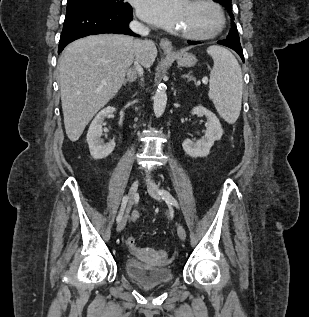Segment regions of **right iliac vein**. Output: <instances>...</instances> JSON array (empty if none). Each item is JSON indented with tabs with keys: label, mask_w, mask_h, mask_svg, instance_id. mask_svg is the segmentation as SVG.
<instances>
[{
	"label": "right iliac vein",
	"mask_w": 309,
	"mask_h": 317,
	"mask_svg": "<svg viewBox=\"0 0 309 317\" xmlns=\"http://www.w3.org/2000/svg\"><path fill=\"white\" fill-rule=\"evenodd\" d=\"M137 189H138V181L135 180V181H133V183L131 184L130 189H129V205H128L127 210H129L131 204L133 203V200H134L136 193H137ZM126 223H127V214L118 223L117 231L121 232L125 228Z\"/></svg>",
	"instance_id": "right-iliac-vein-1"
}]
</instances>
